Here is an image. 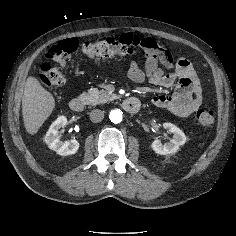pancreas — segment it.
Instances as JSON below:
<instances>
[{
	"mask_svg": "<svg viewBox=\"0 0 236 236\" xmlns=\"http://www.w3.org/2000/svg\"><path fill=\"white\" fill-rule=\"evenodd\" d=\"M115 94L108 93L105 90L91 88L88 92H83L79 98L88 105H98L115 99Z\"/></svg>",
	"mask_w": 236,
	"mask_h": 236,
	"instance_id": "cf45deb5",
	"label": "pancreas"
}]
</instances>
